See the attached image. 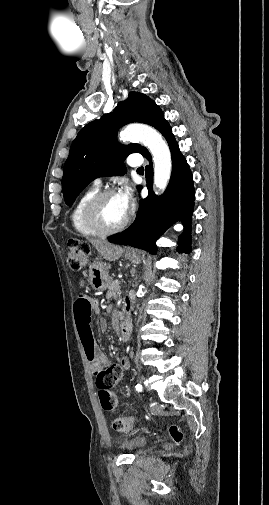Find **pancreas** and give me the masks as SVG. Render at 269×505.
<instances>
[{"mask_svg":"<svg viewBox=\"0 0 269 505\" xmlns=\"http://www.w3.org/2000/svg\"><path fill=\"white\" fill-rule=\"evenodd\" d=\"M119 290H120V281L115 280L111 282V284L109 285L107 295L110 297L115 296Z\"/></svg>","mask_w":269,"mask_h":505,"instance_id":"1","label":"pancreas"}]
</instances>
